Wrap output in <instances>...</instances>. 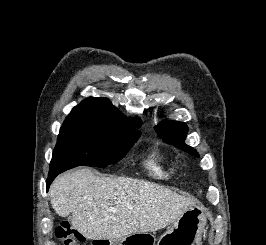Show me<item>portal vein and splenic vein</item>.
<instances>
[{"mask_svg": "<svg viewBox=\"0 0 266 245\" xmlns=\"http://www.w3.org/2000/svg\"><path fill=\"white\" fill-rule=\"evenodd\" d=\"M111 213H116V211H114V209H111Z\"/></svg>", "mask_w": 266, "mask_h": 245, "instance_id": "18ae733b", "label": "portal vein and splenic vein"}]
</instances>
